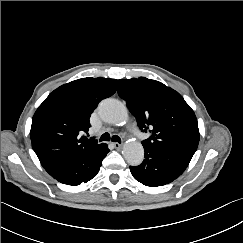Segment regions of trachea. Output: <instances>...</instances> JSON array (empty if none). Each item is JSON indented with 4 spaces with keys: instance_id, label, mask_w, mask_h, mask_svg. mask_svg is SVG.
Returning <instances> with one entry per match:
<instances>
[{
    "instance_id": "obj_1",
    "label": "trachea",
    "mask_w": 243,
    "mask_h": 243,
    "mask_svg": "<svg viewBox=\"0 0 243 243\" xmlns=\"http://www.w3.org/2000/svg\"><path fill=\"white\" fill-rule=\"evenodd\" d=\"M112 141V142H117V143H121V139L119 136L117 135H112L110 136V134L108 132L104 133L101 137H100V141Z\"/></svg>"
}]
</instances>
